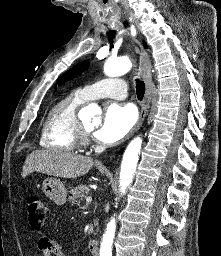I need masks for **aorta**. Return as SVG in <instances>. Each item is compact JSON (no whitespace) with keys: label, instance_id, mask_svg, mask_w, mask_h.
Returning <instances> with one entry per match:
<instances>
[{"label":"aorta","instance_id":"obj_1","mask_svg":"<svg viewBox=\"0 0 221 256\" xmlns=\"http://www.w3.org/2000/svg\"><path fill=\"white\" fill-rule=\"evenodd\" d=\"M131 67L132 63L127 57L109 59L104 65V73L109 77H117L126 74L128 71H130ZM99 111L100 108L95 103H91L81 112L93 116ZM141 146L142 139L140 137H136L129 143L124 152L119 178L121 194H124L126 192V189L133 181ZM115 230L116 221L114 218H112L111 221L107 224L105 233L103 234L100 247V256H111Z\"/></svg>","mask_w":221,"mask_h":256}]
</instances>
